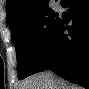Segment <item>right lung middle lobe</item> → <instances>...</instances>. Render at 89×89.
<instances>
[{
  "mask_svg": "<svg viewBox=\"0 0 89 89\" xmlns=\"http://www.w3.org/2000/svg\"><path fill=\"white\" fill-rule=\"evenodd\" d=\"M55 17L54 11L47 7L39 13L24 17L10 27L20 79L37 72L60 23Z\"/></svg>",
  "mask_w": 89,
  "mask_h": 89,
  "instance_id": "dd1d6c3e",
  "label": "right lung middle lobe"
}]
</instances>
